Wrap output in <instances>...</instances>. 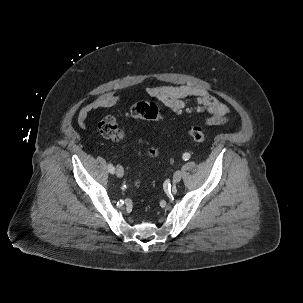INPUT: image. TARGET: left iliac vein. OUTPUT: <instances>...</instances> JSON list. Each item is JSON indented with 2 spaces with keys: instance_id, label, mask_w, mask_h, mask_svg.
<instances>
[{
  "instance_id": "obj_1",
  "label": "left iliac vein",
  "mask_w": 303,
  "mask_h": 303,
  "mask_svg": "<svg viewBox=\"0 0 303 303\" xmlns=\"http://www.w3.org/2000/svg\"><path fill=\"white\" fill-rule=\"evenodd\" d=\"M181 178H182V171L177 170L173 175V183L174 184L179 183Z\"/></svg>"
}]
</instances>
